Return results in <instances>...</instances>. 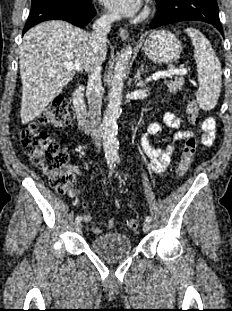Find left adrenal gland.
Masks as SVG:
<instances>
[{
  "instance_id": "1",
  "label": "left adrenal gland",
  "mask_w": 232,
  "mask_h": 311,
  "mask_svg": "<svg viewBox=\"0 0 232 311\" xmlns=\"http://www.w3.org/2000/svg\"><path fill=\"white\" fill-rule=\"evenodd\" d=\"M144 64L141 65V67L137 70L135 76H134V85L136 87H144L146 85V81H144L141 78V72H143Z\"/></svg>"
}]
</instances>
